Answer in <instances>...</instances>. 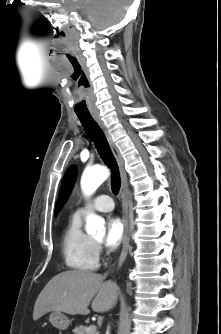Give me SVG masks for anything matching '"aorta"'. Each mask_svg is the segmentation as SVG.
Wrapping results in <instances>:
<instances>
[{"label":"aorta","mask_w":221,"mask_h":334,"mask_svg":"<svg viewBox=\"0 0 221 334\" xmlns=\"http://www.w3.org/2000/svg\"><path fill=\"white\" fill-rule=\"evenodd\" d=\"M109 170L103 166L86 169L81 177V189L86 196L92 195L97 188L109 177ZM86 232L104 236L106 233L105 221L102 217L89 213L86 219Z\"/></svg>","instance_id":"obj_1"}]
</instances>
